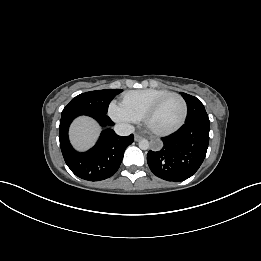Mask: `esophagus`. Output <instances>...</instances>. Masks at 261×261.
<instances>
[{
	"mask_svg": "<svg viewBox=\"0 0 261 261\" xmlns=\"http://www.w3.org/2000/svg\"><path fill=\"white\" fill-rule=\"evenodd\" d=\"M143 137L141 136V135H139V134H135L134 135V140L135 141H139V140H141Z\"/></svg>",
	"mask_w": 261,
	"mask_h": 261,
	"instance_id": "34e87169",
	"label": "esophagus"
}]
</instances>
